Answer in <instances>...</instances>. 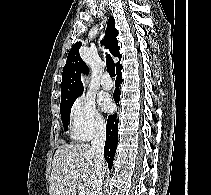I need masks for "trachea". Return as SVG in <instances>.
Instances as JSON below:
<instances>
[{
  "instance_id": "trachea-1",
  "label": "trachea",
  "mask_w": 211,
  "mask_h": 195,
  "mask_svg": "<svg viewBox=\"0 0 211 195\" xmlns=\"http://www.w3.org/2000/svg\"><path fill=\"white\" fill-rule=\"evenodd\" d=\"M106 64L110 76L115 77V64L113 63L112 58L109 54L106 55Z\"/></svg>"
}]
</instances>
